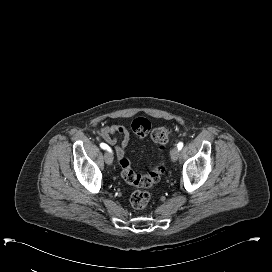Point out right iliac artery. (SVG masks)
<instances>
[{
	"label": "right iliac artery",
	"mask_w": 272,
	"mask_h": 272,
	"mask_svg": "<svg viewBox=\"0 0 272 272\" xmlns=\"http://www.w3.org/2000/svg\"><path fill=\"white\" fill-rule=\"evenodd\" d=\"M100 147H101L102 149H105V150H108V151L111 152L110 147H109L108 145H106L105 143H101V144H100Z\"/></svg>",
	"instance_id": "right-iliac-artery-1"
}]
</instances>
